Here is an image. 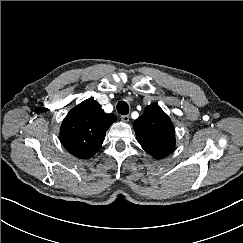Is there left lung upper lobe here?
<instances>
[{
    "label": "left lung upper lobe",
    "instance_id": "obj_1",
    "mask_svg": "<svg viewBox=\"0 0 243 243\" xmlns=\"http://www.w3.org/2000/svg\"><path fill=\"white\" fill-rule=\"evenodd\" d=\"M134 130L137 141L154 158H164L174 151L173 124L158 104L146 107L144 114L134 121Z\"/></svg>",
    "mask_w": 243,
    "mask_h": 243
}]
</instances>
